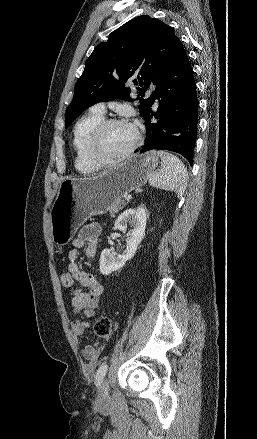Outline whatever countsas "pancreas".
Masks as SVG:
<instances>
[{"mask_svg": "<svg viewBox=\"0 0 257 439\" xmlns=\"http://www.w3.org/2000/svg\"><path fill=\"white\" fill-rule=\"evenodd\" d=\"M125 205H126V202L117 201L110 206L108 211H109L111 216H114V214H116L119 210H121L123 208V206H125Z\"/></svg>", "mask_w": 257, "mask_h": 439, "instance_id": "cf45deb5", "label": "pancreas"}]
</instances>
